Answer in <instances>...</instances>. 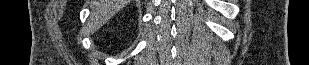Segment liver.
Returning a JSON list of instances; mask_svg holds the SVG:
<instances>
[{"label": "liver", "instance_id": "1", "mask_svg": "<svg viewBox=\"0 0 309 65\" xmlns=\"http://www.w3.org/2000/svg\"><path fill=\"white\" fill-rule=\"evenodd\" d=\"M129 0H91V19L88 23L90 33H94L106 24Z\"/></svg>", "mask_w": 309, "mask_h": 65}]
</instances>
